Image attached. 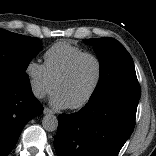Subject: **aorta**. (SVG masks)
<instances>
[{
    "label": "aorta",
    "instance_id": "aorta-1",
    "mask_svg": "<svg viewBox=\"0 0 156 156\" xmlns=\"http://www.w3.org/2000/svg\"><path fill=\"white\" fill-rule=\"evenodd\" d=\"M42 126L46 131L53 132L57 130L58 119L55 115L47 114L42 119Z\"/></svg>",
    "mask_w": 156,
    "mask_h": 156
}]
</instances>
